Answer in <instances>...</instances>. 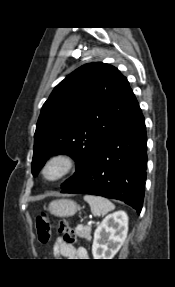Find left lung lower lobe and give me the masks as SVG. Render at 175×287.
<instances>
[{
    "label": "left lung lower lobe",
    "mask_w": 175,
    "mask_h": 287,
    "mask_svg": "<svg viewBox=\"0 0 175 287\" xmlns=\"http://www.w3.org/2000/svg\"><path fill=\"white\" fill-rule=\"evenodd\" d=\"M146 127L139 104L97 148L87 172L62 193L93 194L118 199L139 214L147 168Z\"/></svg>",
    "instance_id": "left-lung-lower-lobe-1"
}]
</instances>
